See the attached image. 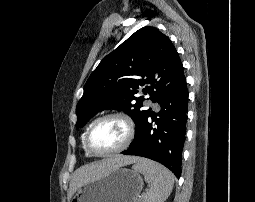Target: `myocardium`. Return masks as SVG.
Masks as SVG:
<instances>
[{
    "label": "myocardium",
    "instance_id": "1",
    "mask_svg": "<svg viewBox=\"0 0 255 202\" xmlns=\"http://www.w3.org/2000/svg\"><path fill=\"white\" fill-rule=\"evenodd\" d=\"M108 119H117V120H120L124 124V126L126 128L125 139H124V141L122 142V144L120 146H118L117 148H115L111 151L103 152V153L96 152L90 146L91 132L99 123H101L105 120H108ZM135 133H136L135 123H134V121L132 120V118L130 116H128L127 114L122 113V112L108 113V114H105V115L97 118L88 127V129H87V131L84 135V146H85L86 150L94 156H98V157L111 156V155L120 153L123 150H125L132 143V141L135 137Z\"/></svg>",
    "mask_w": 255,
    "mask_h": 202
}]
</instances>
